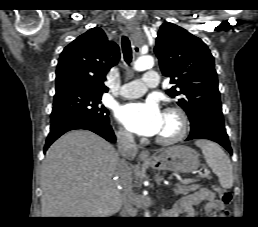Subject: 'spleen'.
<instances>
[{
  "label": "spleen",
  "mask_w": 258,
  "mask_h": 227,
  "mask_svg": "<svg viewBox=\"0 0 258 227\" xmlns=\"http://www.w3.org/2000/svg\"><path fill=\"white\" fill-rule=\"evenodd\" d=\"M204 155L208 166L218 176L220 185L225 189L233 186V168L230 159L221 147L209 140H197L195 142Z\"/></svg>",
  "instance_id": "spleen-1"
}]
</instances>
